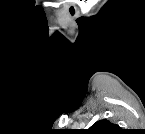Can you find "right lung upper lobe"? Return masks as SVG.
Returning a JSON list of instances; mask_svg holds the SVG:
<instances>
[{
  "label": "right lung upper lobe",
  "instance_id": "1",
  "mask_svg": "<svg viewBox=\"0 0 145 134\" xmlns=\"http://www.w3.org/2000/svg\"><path fill=\"white\" fill-rule=\"evenodd\" d=\"M120 130L118 125L103 119L93 124L86 132L89 134H116Z\"/></svg>",
  "mask_w": 145,
  "mask_h": 134
}]
</instances>
